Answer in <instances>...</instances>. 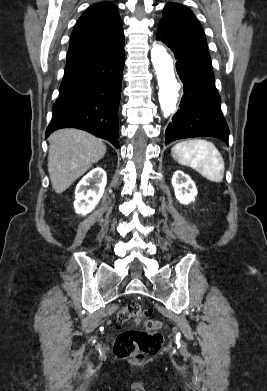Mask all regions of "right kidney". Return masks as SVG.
<instances>
[{
	"instance_id": "1",
	"label": "right kidney",
	"mask_w": 267,
	"mask_h": 391,
	"mask_svg": "<svg viewBox=\"0 0 267 391\" xmlns=\"http://www.w3.org/2000/svg\"><path fill=\"white\" fill-rule=\"evenodd\" d=\"M106 183L107 176L102 168L97 167L85 175L75 190L74 208L76 213L82 215L90 213L103 196ZM90 185L91 188H88Z\"/></svg>"
}]
</instances>
